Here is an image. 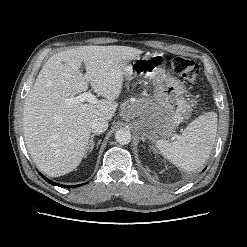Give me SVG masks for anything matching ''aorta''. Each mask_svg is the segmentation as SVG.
Wrapping results in <instances>:
<instances>
[{"label": "aorta", "instance_id": "1", "mask_svg": "<svg viewBox=\"0 0 247 247\" xmlns=\"http://www.w3.org/2000/svg\"><path fill=\"white\" fill-rule=\"evenodd\" d=\"M115 139L121 145L129 144L131 141V133L127 129H119L115 133Z\"/></svg>", "mask_w": 247, "mask_h": 247}]
</instances>
